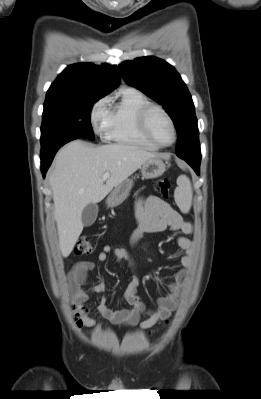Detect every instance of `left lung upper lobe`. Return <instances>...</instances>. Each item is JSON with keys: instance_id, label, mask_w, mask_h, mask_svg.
<instances>
[{"instance_id": "1", "label": "left lung upper lobe", "mask_w": 261, "mask_h": 399, "mask_svg": "<svg viewBox=\"0 0 261 399\" xmlns=\"http://www.w3.org/2000/svg\"><path fill=\"white\" fill-rule=\"evenodd\" d=\"M123 79L161 104L179 137L176 155L201 158L195 108L187 86L173 66L156 57H139L119 65Z\"/></svg>"}]
</instances>
